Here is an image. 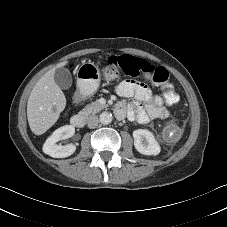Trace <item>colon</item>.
<instances>
[{"instance_id":"1","label":"colon","mask_w":227,"mask_h":227,"mask_svg":"<svg viewBox=\"0 0 227 227\" xmlns=\"http://www.w3.org/2000/svg\"><path fill=\"white\" fill-rule=\"evenodd\" d=\"M108 63L113 66H118L119 69L126 75L137 77L146 76L153 79L161 86L162 95L168 104H175L178 102V95L176 93V85L174 81L170 80L167 70L162 66H156L149 62H141L133 57L116 58L111 57ZM184 124L181 125V129Z\"/></svg>"}]
</instances>
